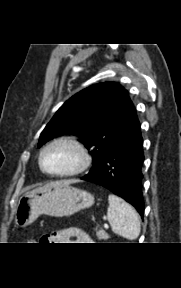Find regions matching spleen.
I'll list each match as a JSON object with an SVG mask.
<instances>
[{"mask_svg":"<svg viewBox=\"0 0 181 288\" xmlns=\"http://www.w3.org/2000/svg\"><path fill=\"white\" fill-rule=\"evenodd\" d=\"M107 219L112 231L126 239L134 240L140 234V220L135 209L121 198L110 194Z\"/></svg>","mask_w":181,"mask_h":288,"instance_id":"obj_1","label":"spleen"}]
</instances>
